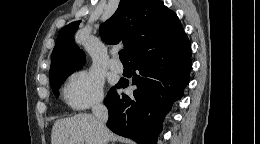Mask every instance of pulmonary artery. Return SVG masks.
I'll use <instances>...</instances> for the list:
<instances>
[{"label": "pulmonary artery", "instance_id": "obj_1", "mask_svg": "<svg viewBox=\"0 0 260 144\" xmlns=\"http://www.w3.org/2000/svg\"><path fill=\"white\" fill-rule=\"evenodd\" d=\"M109 67L112 71H115V72H122L123 71L122 64L115 58L111 59V61L109 63Z\"/></svg>", "mask_w": 260, "mask_h": 144}]
</instances>
